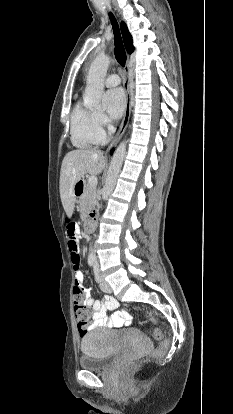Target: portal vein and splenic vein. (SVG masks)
<instances>
[{
	"mask_svg": "<svg viewBox=\"0 0 233 414\" xmlns=\"http://www.w3.org/2000/svg\"><path fill=\"white\" fill-rule=\"evenodd\" d=\"M97 182H98V180H97V177H96V176H90V177L88 178V183H89L91 186H96V185H97Z\"/></svg>",
	"mask_w": 233,
	"mask_h": 414,
	"instance_id": "18ae733b",
	"label": "portal vein and splenic vein"
}]
</instances>
